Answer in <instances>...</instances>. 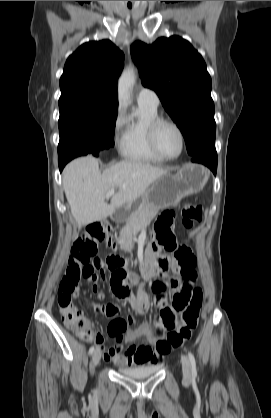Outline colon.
<instances>
[{"label": "colon", "instance_id": "5ec220e1", "mask_svg": "<svg viewBox=\"0 0 271 418\" xmlns=\"http://www.w3.org/2000/svg\"><path fill=\"white\" fill-rule=\"evenodd\" d=\"M201 218V206L193 203L183 206L182 225L184 228H192ZM172 224L173 214L166 212L159 218L154 228L156 244L159 248L162 247L174 253L179 273L183 277L182 290L173 299L172 306L175 312L165 310L162 315V326L158 333L165 335V339L158 344V347L163 350L179 347L190 338L192 331L198 324L203 302L202 290L191 285L197 277L196 258L188 247L177 246L171 229ZM107 232L108 227L102 222H94L87 227L83 236L75 242L70 251L65 274L59 283L57 292V304L64 324L85 339L95 340L97 343L101 341V337L95 331L93 323L74 304V299L78 294L79 282L83 279L88 280L95 275L94 265L90 262L96 255L99 244L106 239ZM95 266H97V262H95ZM108 267L110 270L113 269L109 261Z\"/></svg>", "mask_w": 271, "mask_h": 418}]
</instances>
